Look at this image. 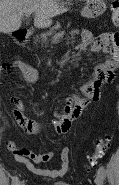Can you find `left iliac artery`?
Listing matches in <instances>:
<instances>
[{"label":"left iliac artery","instance_id":"obj_1","mask_svg":"<svg viewBox=\"0 0 119 185\" xmlns=\"http://www.w3.org/2000/svg\"><path fill=\"white\" fill-rule=\"evenodd\" d=\"M98 172H100L102 174V176L105 177L106 170H105L104 166H100Z\"/></svg>","mask_w":119,"mask_h":185}]
</instances>
